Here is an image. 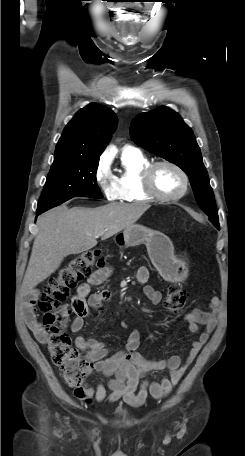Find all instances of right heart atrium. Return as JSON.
Wrapping results in <instances>:
<instances>
[{
  "label": "right heart atrium",
  "instance_id": "d8ad5b80",
  "mask_svg": "<svg viewBox=\"0 0 245 456\" xmlns=\"http://www.w3.org/2000/svg\"><path fill=\"white\" fill-rule=\"evenodd\" d=\"M94 179L101 190L102 194L109 201L118 199L119 190L115 180V177L112 175L109 162L105 158H101L94 171Z\"/></svg>",
  "mask_w": 245,
  "mask_h": 456
}]
</instances>
